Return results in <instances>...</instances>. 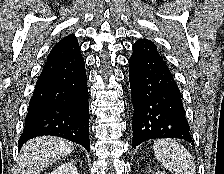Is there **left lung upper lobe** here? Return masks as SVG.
Segmentation results:
<instances>
[{"instance_id":"obj_1","label":"left lung upper lobe","mask_w":224,"mask_h":174,"mask_svg":"<svg viewBox=\"0 0 224 174\" xmlns=\"http://www.w3.org/2000/svg\"><path fill=\"white\" fill-rule=\"evenodd\" d=\"M135 44H153V43L147 39H140Z\"/></svg>"}]
</instances>
